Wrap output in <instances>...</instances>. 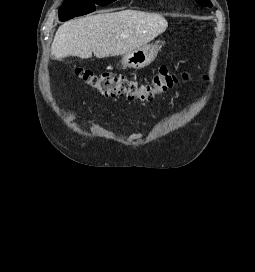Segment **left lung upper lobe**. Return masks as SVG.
<instances>
[{
	"instance_id": "5c2ea615",
	"label": "left lung upper lobe",
	"mask_w": 255,
	"mask_h": 272,
	"mask_svg": "<svg viewBox=\"0 0 255 272\" xmlns=\"http://www.w3.org/2000/svg\"><path fill=\"white\" fill-rule=\"evenodd\" d=\"M195 1L201 6H206V7L212 6V3L208 0H195Z\"/></svg>"
}]
</instances>
